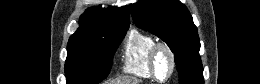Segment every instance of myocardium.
<instances>
[{"mask_svg":"<svg viewBox=\"0 0 260 84\" xmlns=\"http://www.w3.org/2000/svg\"><path fill=\"white\" fill-rule=\"evenodd\" d=\"M165 52L170 60V70L168 74L163 78H159L157 75V58L160 53ZM149 68L153 79L158 82H166L174 75L176 70V57L172 48L165 42H157L150 53Z\"/></svg>","mask_w":260,"mask_h":84,"instance_id":"f54148a6","label":"myocardium"}]
</instances>
